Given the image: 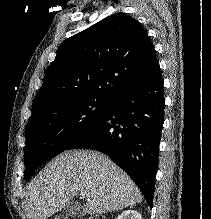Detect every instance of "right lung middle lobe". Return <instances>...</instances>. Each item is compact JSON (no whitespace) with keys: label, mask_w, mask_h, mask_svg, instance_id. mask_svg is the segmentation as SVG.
<instances>
[{"label":"right lung middle lobe","mask_w":211,"mask_h":219,"mask_svg":"<svg viewBox=\"0 0 211 219\" xmlns=\"http://www.w3.org/2000/svg\"><path fill=\"white\" fill-rule=\"evenodd\" d=\"M111 100L88 97L66 103L29 120L24 149L26 180L34 171L79 139L106 113Z\"/></svg>","instance_id":"obj_1"}]
</instances>
